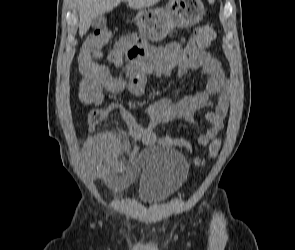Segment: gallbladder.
<instances>
[{
  "label": "gallbladder",
  "mask_w": 295,
  "mask_h": 250,
  "mask_svg": "<svg viewBox=\"0 0 295 250\" xmlns=\"http://www.w3.org/2000/svg\"><path fill=\"white\" fill-rule=\"evenodd\" d=\"M107 20L104 15L94 17L91 22V26L95 29H103L106 26Z\"/></svg>",
  "instance_id": "obj_1"
}]
</instances>
